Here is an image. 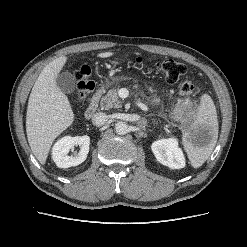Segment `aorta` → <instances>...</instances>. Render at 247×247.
<instances>
[{
    "instance_id": "762f6f07",
    "label": "aorta",
    "mask_w": 247,
    "mask_h": 247,
    "mask_svg": "<svg viewBox=\"0 0 247 247\" xmlns=\"http://www.w3.org/2000/svg\"><path fill=\"white\" fill-rule=\"evenodd\" d=\"M115 131L119 135H125L129 132V126L123 121H118L115 124Z\"/></svg>"
}]
</instances>
